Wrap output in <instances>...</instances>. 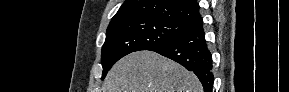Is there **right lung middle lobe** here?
I'll use <instances>...</instances> for the list:
<instances>
[{
	"label": "right lung middle lobe",
	"mask_w": 289,
	"mask_h": 92,
	"mask_svg": "<svg viewBox=\"0 0 289 92\" xmlns=\"http://www.w3.org/2000/svg\"><path fill=\"white\" fill-rule=\"evenodd\" d=\"M186 29L185 24L156 18H131L109 25L102 47V79L123 56L150 50L178 37Z\"/></svg>",
	"instance_id": "right-lung-middle-lobe-1"
}]
</instances>
